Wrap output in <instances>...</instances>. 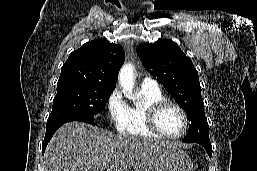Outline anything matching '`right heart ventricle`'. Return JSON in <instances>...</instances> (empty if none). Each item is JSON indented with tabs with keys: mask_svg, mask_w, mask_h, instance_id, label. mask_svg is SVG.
Listing matches in <instances>:
<instances>
[{
	"mask_svg": "<svg viewBox=\"0 0 257 171\" xmlns=\"http://www.w3.org/2000/svg\"><path fill=\"white\" fill-rule=\"evenodd\" d=\"M140 102L127 106L125 120L119 129L122 133L133 136L159 138L147 127L146 116L148 107L165 99L159 87H147L141 85L138 90Z\"/></svg>",
	"mask_w": 257,
	"mask_h": 171,
	"instance_id": "1",
	"label": "right heart ventricle"
}]
</instances>
